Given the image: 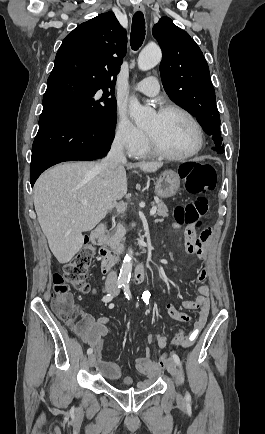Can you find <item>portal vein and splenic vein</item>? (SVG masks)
Masks as SVG:
<instances>
[{
    "label": "portal vein and splenic vein",
    "mask_w": 265,
    "mask_h": 434,
    "mask_svg": "<svg viewBox=\"0 0 265 434\" xmlns=\"http://www.w3.org/2000/svg\"><path fill=\"white\" fill-rule=\"evenodd\" d=\"M81 204L82 206H87L88 202L87 200H81ZM157 212V208L156 206H153L152 210H150V216H154V214H156Z\"/></svg>",
    "instance_id": "obj_1"
}]
</instances>
